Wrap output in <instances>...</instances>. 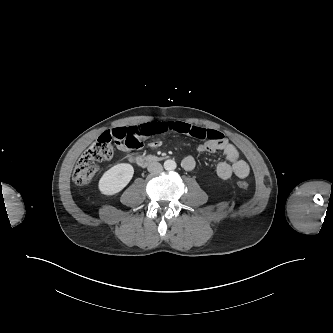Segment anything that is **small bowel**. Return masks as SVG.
<instances>
[{
    "label": "small bowel",
    "mask_w": 333,
    "mask_h": 333,
    "mask_svg": "<svg viewBox=\"0 0 333 333\" xmlns=\"http://www.w3.org/2000/svg\"><path fill=\"white\" fill-rule=\"evenodd\" d=\"M166 133L186 134L206 140L197 146V151L200 153L222 152L226 161L220 162L216 168L217 174L221 179L227 180L233 175L238 178H245L249 175V165L241 159L238 149L221 132L184 122H149L130 127H118L104 132L99 138L113 141L119 150L129 152L145 147L144 142L146 139ZM161 144L160 140L155 139L148 143L147 146L149 148H157ZM195 165V159L191 155L185 156L182 160V166L187 171L194 169Z\"/></svg>",
    "instance_id": "1"
}]
</instances>
